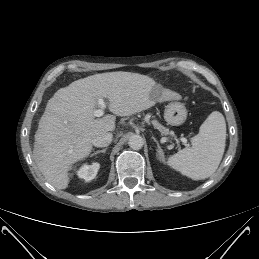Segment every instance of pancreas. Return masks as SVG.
<instances>
[{"label": "pancreas", "mask_w": 259, "mask_h": 259, "mask_svg": "<svg viewBox=\"0 0 259 259\" xmlns=\"http://www.w3.org/2000/svg\"><path fill=\"white\" fill-rule=\"evenodd\" d=\"M152 124H153L154 128L159 130L162 134H164V135L169 134V130L167 128H165L164 126H162L158 121L153 120Z\"/></svg>", "instance_id": "cf45deb5"}]
</instances>
